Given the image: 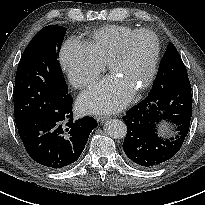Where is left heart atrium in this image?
I'll use <instances>...</instances> for the list:
<instances>
[{"instance_id":"1","label":"left heart atrium","mask_w":205,"mask_h":205,"mask_svg":"<svg viewBox=\"0 0 205 205\" xmlns=\"http://www.w3.org/2000/svg\"><path fill=\"white\" fill-rule=\"evenodd\" d=\"M134 91L118 77L111 75L78 99V108L87 113H110L122 109L132 99Z\"/></svg>"}]
</instances>
